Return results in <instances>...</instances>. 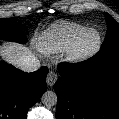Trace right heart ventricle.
I'll return each instance as SVG.
<instances>
[{
	"instance_id": "obj_1",
	"label": "right heart ventricle",
	"mask_w": 119,
	"mask_h": 119,
	"mask_svg": "<svg viewBox=\"0 0 119 119\" xmlns=\"http://www.w3.org/2000/svg\"><path fill=\"white\" fill-rule=\"evenodd\" d=\"M87 28L73 22H58L47 29L41 50L48 54L67 51Z\"/></svg>"
}]
</instances>
